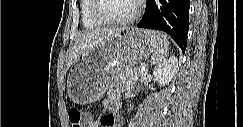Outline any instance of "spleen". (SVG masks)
<instances>
[{"label": "spleen", "instance_id": "1", "mask_svg": "<svg viewBox=\"0 0 243 127\" xmlns=\"http://www.w3.org/2000/svg\"><path fill=\"white\" fill-rule=\"evenodd\" d=\"M152 38L155 43L152 62L159 65L168 55L169 41L165 34L159 32H154Z\"/></svg>", "mask_w": 243, "mask_h": 127}]
</instances>
